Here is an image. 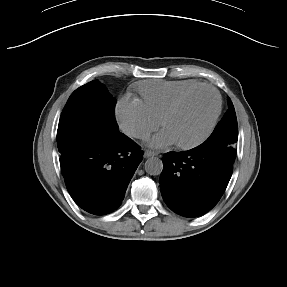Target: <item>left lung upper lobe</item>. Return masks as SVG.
Masks as SVG:
<instances>
[{"label": "left lung upper lobe", "mask_w": 287, "mask_h": 287, "mask_svg": "<svg viewBox=\"0 0 287 287\" xmlns=\"http://www.w3.org/2000/svg\"><path fill=\"white\" fill-rule=\"evenodd\" d=\"M228 105L229 109L226 114L203 145L219 152L230 164H233L236 155L235 146L238 139V125L235 109L230 98L228 99Z\"/></svg>", "instance_id": "obj_1"}]
</instances>
